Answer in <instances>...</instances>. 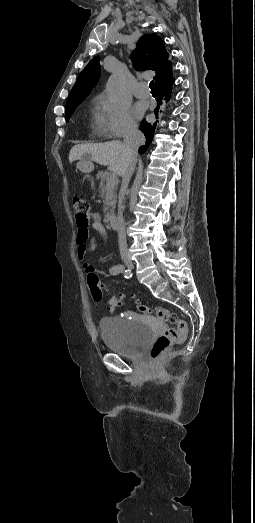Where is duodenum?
<instances>
[{
    "label": "duodenum",
    "mask_w": 255,
    "mask_h": 523,
    "mask_svg": "<svg viewBox=\"0 0 255 523\" xmlns=\"http://www.w3.org/2000/svg\"><path fill=\"white\" fill-rule=\"evenodd\" d=\"M105 221H106L107 226L111 229H116L118 226V220H117L116 215H114V214L107 215Z\"/></svg>",
    "instance_id": "1"
}]
</instances>
